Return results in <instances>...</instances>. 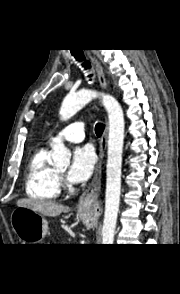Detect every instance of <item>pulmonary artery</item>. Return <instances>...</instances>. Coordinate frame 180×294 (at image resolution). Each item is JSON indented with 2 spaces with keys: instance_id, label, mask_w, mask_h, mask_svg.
<instances>
[{
  "instance_id": "1",
  "label": "pulmonary artery",
  "mask_w": 180,
  "mask_h": 294,
  "mask_svg": "<svg viewBox=\"0 0 180 294\" xmlns=\"http://www.w3.org/2000/svg\"><path fill=\"white\" fill-rule=\"evenodd\" d=\"M85 137V125L83 122H75L65 126L58 132L56 138L69 142H81Z\"/></svg>"
}]
</instances>
